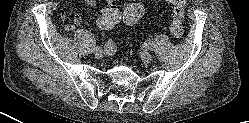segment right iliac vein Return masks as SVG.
<instances>
[{"label":"right iliac vein","instance_id":"right-iliac-vein-1","mask_svg":"<svg viewBox=\"0 0 249 123\" xmlns=\"http://www.w3.org/2000/svg\"><path fill=\"white\" fill-rule=\"evenodd\" d=\"M103 53H104V49L101 47H97L94 51V55L96 58L102 57Z\"/></svg>","mask_w":249,"mask_h":123}]
</instances>
